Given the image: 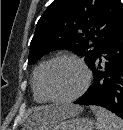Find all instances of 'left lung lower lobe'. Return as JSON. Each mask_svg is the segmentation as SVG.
<instances>
[{
	"label": "left lung lower lobe",
	"instance_id": "1",
	"mask_svg": "<svg viewBox=\"0 0 123 130\" xmlns=\"http://www.w3.org/2000/svg\"><path fill=\"white\" fill-rule=\"evenodd\" d=\"M90 66L94 82L75 103L101 106L123 119V20Z\"/></svg>",
	"mask_w": 123,
	"mask_h": 130
}]
</instances>
